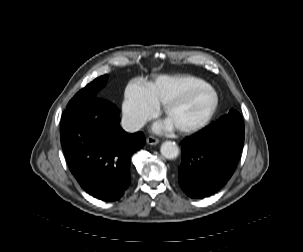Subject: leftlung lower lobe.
Wrapping results in <instances>:
<instances>
[{
  "instance_id": "0a47b994",
  "label": "left lung lower lobe",
  "mask_w": 303,
  "mask_h": 252,
  "mask_svg": "<svg viewBox=\"0 0 303 252\" xmlns=\"http://www.w3.org/2000/svg\"><path fill=\"white\" fill-rule=\"evenodd\" d=\"M244 143V131L203 130L183 140L178 181L192 198L212 195L232 176Z\"/></svg>"
}]
</instances>
